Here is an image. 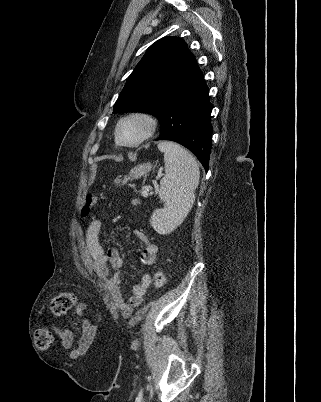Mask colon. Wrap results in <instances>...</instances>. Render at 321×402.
I'll list each match as a JSON object with an SVG mask.
<instances>
[{"label": "colon", "mask_w": 321, "mask_h": 402, "mask_svg": "<svg viewBox=\"0 0 321 402\" xmlns=\"http://www.w3.org/2000/svg\"><path fill=\"white\" fill-rule=\"evenodd\" d=\"M97 203V197L90 195L84 201L81 209V216L87 217ZM166 274L158 270L154 273L153 283L155 287L162 288L166 283ZM76 295L73 292L65 291L55 295L51 300V311L56 316H61L69 312L76 304ZM35 344L39 349H47L53 341V334L50 329L40 326L35 330Z\"/></svg>", "instance_id": "colon-1"}]
</instances>
